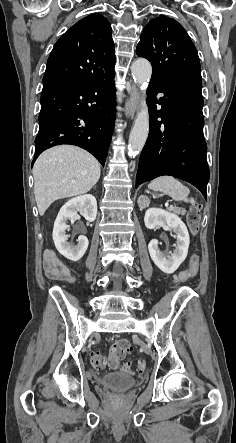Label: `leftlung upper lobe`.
<instances>
[{"label": "left lung upper lobe", "mask_w": 236, "mask_h": 443, "mask_svg": "<svg viewBox=\"0 0 236 443\" xmlns=\"http://www.w3.org/2000/svg\"><path fill=\"white\" fill-rule=\"evenodd\" d=\"M136 53L151 62V79L202 81L197 50L185 29L174 19L160 15L149 21Z\"/></svg>", "instance_id": "obj_1"}]
</instances>
